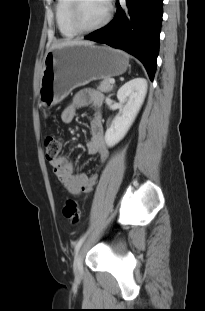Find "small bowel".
Wrapping results in <instances>:
<instances>
[{"label":"small bowel","instance_id":"small-bowel-1","mask_svg":"<svg viewBox=\"0 0 205 311\" xmlns=\"http://www.w3.org/2000/svg\"><path fill=\"white\" fill-rule=\"evenodd\" d=\"M103 104V96L100 92L85 89L77 92L72 100L63 108L61 121L70 124L74 121L79 109L90 105L96 113L89 122L90 139L87 142V151L90 155L98 156L101 163H104L109 155L105 140L104 129L100 109ZM57 181L74 196L89 193L97 179L96 174L78 173L74 174V164L66 156H58L50 161Z\"/></svg>","mask_w":205,"mask_h":311}]
</instances>
